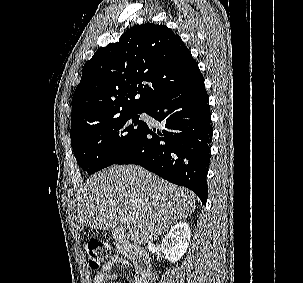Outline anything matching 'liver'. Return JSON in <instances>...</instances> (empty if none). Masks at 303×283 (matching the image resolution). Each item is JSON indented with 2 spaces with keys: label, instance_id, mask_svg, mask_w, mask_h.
Returning a JSON list of instances; mask_svg holds the SVG:
<instances>
[{
  "label": "liver",
  "instance_id": "liver-1",
  "mask_svg": "<svg viewBox=\"0 0 303 283\" xmlns=\"http://www.w3.org/2000/svg\"><path fill=\"white\" fill-rule=\"evenodd\" d=\"M195 194L134 165L111 166L89 177L78 196L77 226L112 230L131 218V240L146 244L192 214Z\"/></svg>",
  "mask_w": 303,
  "mask_h": 283
}]
</instances>
